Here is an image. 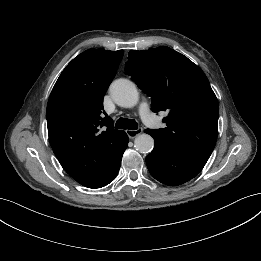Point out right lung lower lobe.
<instances>
[{"instance_id":"right-lung-lower-lobe-1","label":"right lung lower lobe","mask_w":261,"mask_h":261,"mask_svg":"<svg viewBox=\"0 0 261 261\" xmlns=\"http://www.w3.org/2000/svg\"><path fill=\"white\" fill-rule=\"evenodd\" d=\"M127 144H128V137L126 138L123 147L119 151V153H118L115 161L111 165V167L100 178L92 181L89 184H86L85 185L86 187L101 188L103 186H106L107 184H109L110 182H112L115 179V177L119 171V168H120L122 155H123L125 149L127 148Z\"/></svg>"}]
</instances>
